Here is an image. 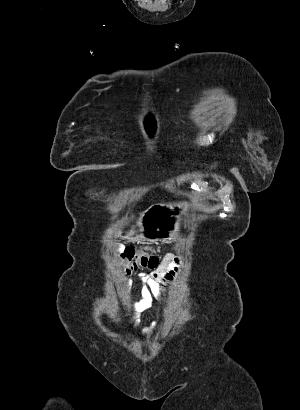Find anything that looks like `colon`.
Segmentation results:
<instances>
[{"label": "colon", "instance_id": "5ec220e1", "mask_svg": "<svg viewBox=\"0 0 300 410\" xmlns=\"http://www.w3.org/2000/svg\"><path fill=\"white\" fill-rule=\"evenodd\" d=\"M127 273L139 269H153L159 263V256L136 248H128L121 255Z\"/></svg>", "mask_w": 300, "mask_h": 410}]
</instances>
